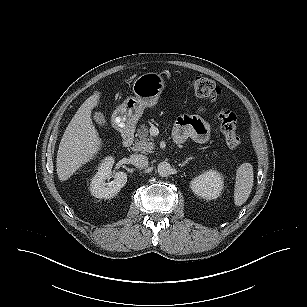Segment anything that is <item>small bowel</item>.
I'll list each match as a JSON object with an SVG mask.
<instances>
[{"instance_id":"1","label":"small bowel","mask_w":307,"mask_h":307,"mask_svg":"<svg viewBox=\"0 0 307 307\" xmlns=\"http://www.w3.org/2000/svg\"><path fill=\"white\" fill-rule=\"evenodd\" d=\"M204 110H199L203 113ZM173 138L176 143H183L192 139L197 143H206L210 138V127L200 115L180 117L173 130Z\"/></svg>"}]
</instances>
